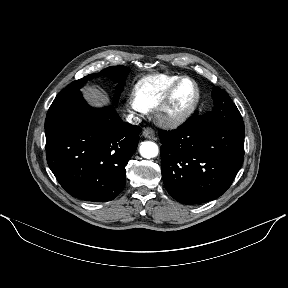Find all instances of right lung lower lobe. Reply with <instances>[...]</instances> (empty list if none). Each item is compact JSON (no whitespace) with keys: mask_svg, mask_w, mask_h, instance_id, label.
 Instances as JSON below:
<instances>
[{"mask_svg":"<svg viewBox=\"0 0 288 288\" xmlns=\"http://www.w3.org/2000/svg\"><path fill=\"white\" fill-rule=\"evenodd\" d=\"M141 130L123 122L113 107L92 108L80 90L72 92L53 102L46 116L48 165L73 197L113 200L125 186V166Z\"/></svg>","mask_w":288,"mask_h":288,"instance_id":"right-lung-lower-lobe-1","label":"right lung lower lobe"}]
</instances>
